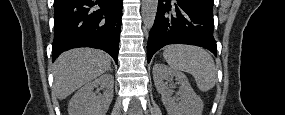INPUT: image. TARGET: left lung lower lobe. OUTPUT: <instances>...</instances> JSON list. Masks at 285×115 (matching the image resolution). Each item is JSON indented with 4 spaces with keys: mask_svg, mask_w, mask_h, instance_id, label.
Segmentation results:
<instances>
[{
    "mask_svg": "<svg viewBox=\"0 0 285 115\" xmlns=\"http://www.w3.org/2000/svg\"><path fill=\"white\" fill-rule=\"evenodd\" d=\"M212 8L213 0H159L147 44L148 62L168 44L196 45L216 55Z\"/></svg>",
    "mask_w": 285,
    "mask_h": 115,
    "instance_id": "0a47b994",
    "label": "left lung lower lobe"
}]
</instances>
